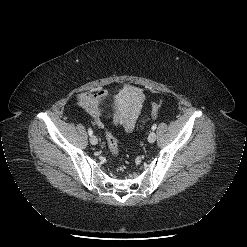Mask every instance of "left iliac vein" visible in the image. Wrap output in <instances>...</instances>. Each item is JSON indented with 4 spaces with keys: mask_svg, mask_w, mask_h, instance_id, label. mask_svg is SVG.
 <instances>
[{
    "mask_svg": "<svg viewBox=\"0 0 247 247\" xmlns=\"http://www.w3.org/2000/svg\"><path fill=\"white\" fill-rule=\"evenodd\" d=\"M156 140V133L154 131H151L149 136H148V142L149 143H154Z\"/></svg>",
    "mask_w": 247,
    "mask_h": 247,
    "instance_id": "left-iliac-vein-1",
    "label": "left iliac vein"
}]
</instances>
